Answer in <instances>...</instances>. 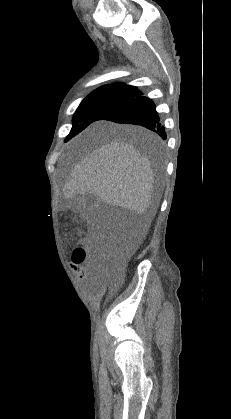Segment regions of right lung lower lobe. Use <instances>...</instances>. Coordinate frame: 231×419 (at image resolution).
Returning <instances> with one entry per match:
<instances>
[{"label": "right lung lower lobe", "mask_w": 231, "mask_h": 419, "mask_svg": "<svg viewBox=\"0 0 231 419\" xmlns=\"http://www.w3.org/2000/svg\"><path fill=\"white\" fill-rule=\"evenodd\" d=\"M99 120L141 125L166 139L165 129L160 123L154 102L142 97L137 88L127 100L104 113Z\"/></svg>", "instance_id": "obj_1"}]
</instances>
